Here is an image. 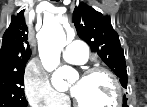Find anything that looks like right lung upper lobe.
Instances as JSON below:
<instances>
[{
	"instance_id": "obj_1",
	"label": "right lung upper lobe",
	"mask_w": 147,
	"mask_h": 107,
	"mask_svg": "<svg viewBox=\"0 0 147 107\" xmlns=\"http://www.w3.org/2000/svg\"><path fill=\"white\" fill-rule=\"evenodd\" d=\"M23 13L24 11H21L17 17L11 19V23L3 35L0 49V74L25 68L31 56L28 27Z\"/></svg>"
}]
</instances>
